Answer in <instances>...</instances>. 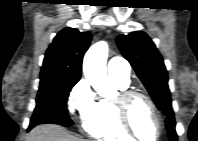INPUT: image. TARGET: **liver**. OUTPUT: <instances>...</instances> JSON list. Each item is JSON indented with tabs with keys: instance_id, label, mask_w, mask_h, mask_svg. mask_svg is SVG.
I'll return each mask as SVG.
<instances>
[{
	"instance_id": "1",
	"label": "liver",
	"mask_w": 198,
	"mask_h": 141,
	"mask_svg": "<svg viewBox=\"0 0 198 141\" xmlns=\"http://www.w3.org/2000/svg\"><path fill=\"white\" fill-rule=\"evenodd\" d=\"M28 141H85L72 136L65 128L58 125H39L31 130Z\"/></svg>"
}]
</instances>
